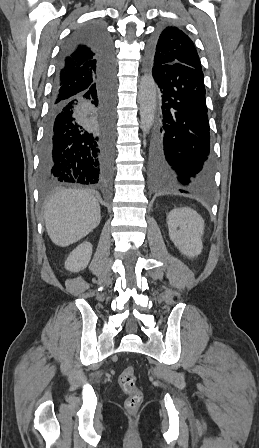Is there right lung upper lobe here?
Masks as SVG:
<instances>
[{
	"label": "right lung upper lobe",
	"instance_id": "right-lung-upper-lobe-1",
	"mask_svg": "<svg viewBox=\"0 0 259 448\" xmlns=\"http://www.w3.org/2000/svg\"><path fill=\"white\" fill-rule=\"evenodd\" d=\"M97 79L94 55L86 47L77 48L65 61L58 74L59 96L65 97L75 92L90 90Z\"/></svg>",
	"mask_w": 259,
	"mask_h": 448
}]
</instances>
